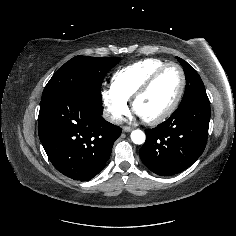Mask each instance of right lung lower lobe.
Returning a JSON list of instances; mask_svg holds the SVG:
<instances>
[{"instance_id":"right-lung-lower-lobe-1","label":"right lung lower lobe","mask_w":236,"mask_h":236,"mask_svg":"<svg viewBox=\"0 0 236 236\" xmlns=\"http://www.w3.org/2000/svg\"><path fill=\"white\" fill-rule=\"evenodd\" d=\"M102 113V105L76 92L41 101L39 138L53 166L65 176L90 180L110 158L121 128L107 122Z\"/></svg>"}]
</instances>
